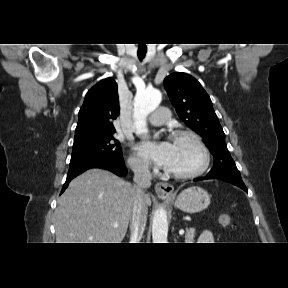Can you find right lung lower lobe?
Returning a JSON list of instances; mask_svg holds the SVG:
<instances>
[{
    "label": "right lung lower lobe",
    "instance_id": "obj_1",
    "mask_svg": "<svg viewBox=\"0 0 288 288\" xmlns=\"http://www.w3.org/2000/svg\"><path fill=\"white\" fill-rule=\"evenodd\" d=\"M90 168H102L112 171L118 176H124L127 172L124 161L116 162L105 157H92L88 159L80 160L76 163H70V168L67 174L66 182L63 185L61 193L67 188L69 182Z\"/></svg>",
    "mask_w": 288,
    "mask_h": 288
}]
</instances>
